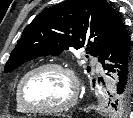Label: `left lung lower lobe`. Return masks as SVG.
Segmentation results:
<instances>
[{"mask_svg":"<svg viewBox=\"0 0 133 118\" xmlns=\"http://www.w3.org/2000/svg\"><path fill=\"white\" fill-rule=\"evenodd\" d=\"M104 70L110 72L114 68H119L118 83L114 93L121 95L125 91H131L133 96V54L130 47L129 36L126 32L124 24H122L110 42L106 45L99 56Z\"/></svg>","mask_w":133,"mask_h":118,"instance_id":"0a47b994","label":"left lung lower lobe"}]
</instances>
